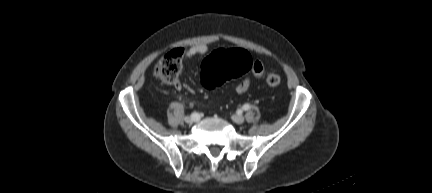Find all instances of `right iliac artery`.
<instances>
[{"label":"right iliac artery","mask_w":432,"mask_h":193,"mask_svg":"<svg viewBox=\"0 0 432 193\" xmlns=\"http://www.w3.org/2000/svg\"><path fill=\"white\" fill-rule=\"evenodd\" d=\"M197 115V112L196 111H193L192 113H191V116L192 117H195Z\"/></svg>","instance_id":"82829eb1"}]
</instances>
